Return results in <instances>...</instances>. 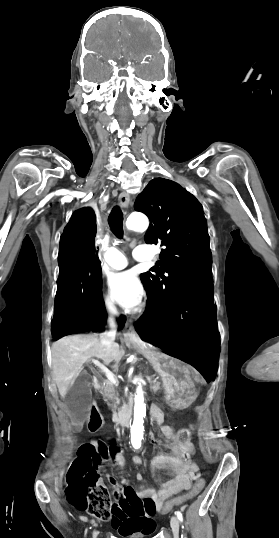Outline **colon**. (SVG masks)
<instances>
[{
	"label": "colon",
	"mask_w": 279,
	"mask_h": 538,
	"mask_svg": "<svg viewBox=\"0 0 279 538\" xmlns=\"http://www.w3.org/2000/svg\"><path fill=\"white\" fill-rule=\"evenodd\" d=\"M101 426L102 420H99L98 427ZM191 436L192 429L183 428L176 434L175 441L186 447L184 460L188 475L195 480L194 485L187 494L167 501L160 509L162 513L191 501L204 488L196 451L190 443ZM119 456L121 447L116 442L101 440L96 445L92 443L82 445L66 476L65 493L68 501L75 508L86 510L103 521L110 520L114 516L121 518L154 516L159 508L150 494L140 495L129 485L115 483L112 497L103 483L97 467L104 461L116 462Z\"/></svg>",
	"instance_id": "1"
}]
</instances>
